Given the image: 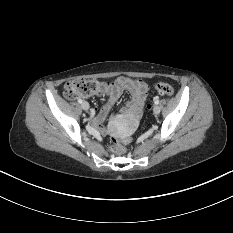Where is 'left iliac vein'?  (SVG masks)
I'll use <instances>...</instances> for the list:
<instances>
[{"mask_svg":"<svg viewBox=\"0 0 233 233\" xmlns=\"http://www.w3.org/2000/svg\"><path fill=\"white\" fill-rule=\"evenodd\" d=\"M160 111H161V109H160V107L157 106V105L153 108V113H154L155 115H158V114L160 113Z\"/></svg>","mask_w":233,"mask_h":233,"instance_id":"left-iliac-vein-1","label":"left iliac vein"}]
</instances>
